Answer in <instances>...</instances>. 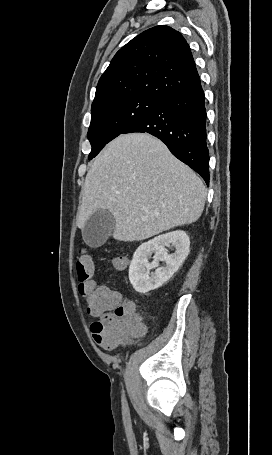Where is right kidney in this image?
<instances>
[{
    "instance_id": "1",
    "label": "right kidney",
    "mask_w": 272,
    "mask_h": 455,
    "mask_svg": "<svg viewBox=\"0 0 272 455\" xmlns=\"http://www.w3.org/2000/svg\"><path fill=\"white\" fill-rule=\"evenodd\" d=\"M174 246L175 252L168 254L165 247ZM190 238L185 231L176 230L141 244L135 251L129 267V280L133 288L142 294L157 289L167 282L179 269L190 251ZM155 253L149 263L148 257ZM165 261V267H159ZM155 269L150 273V270Z\"/></svg>"
}]
</instances>
